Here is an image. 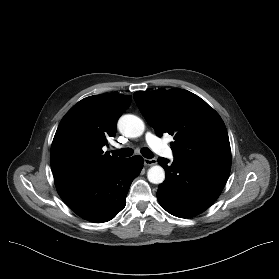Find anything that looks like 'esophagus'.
Wrapping results in <instances>:
<instances>
[{
    "label": "esophagus",
    "instance_id": "obj_1",
    "mask_svg": "<svg viewBox=\"0 0 279 279\" xmlns=\"http://www.w3.org/2000/svg\"><path fill=\"white\" fill-rule=\"evenodd\" d=\"M157 163V160L155 158H151V159H144V165L146 166H153Z\"/></svg>",
    "mask_w": 279,
    "mask_h": 279
}]
</instances>
